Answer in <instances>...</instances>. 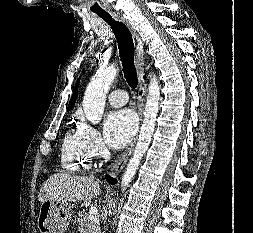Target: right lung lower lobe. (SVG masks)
<instances>
[{"label":"right lung lower lobe","mask_w":253,"mask_h":233,"mask_svg":"<svg viewBox=\"0 0 253 233\" xmlns=\"http://www.w3.org/2000/svg\"><path fill=\"white\" fill-rule=\"evenodd\" d=\"M106 179H107V181H108L110 184H116V183H117V180H116V179H113V178H111V177H109V176H106Z\"/></svg>","instance_id":"obj_1"}]
</instances>
